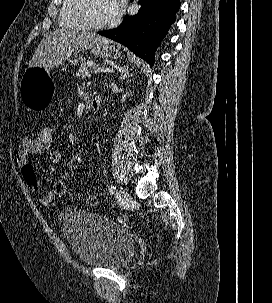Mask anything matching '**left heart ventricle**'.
I'll return each instance as SVG.
<instances>
[{"label":"left heart ventricle","mask_w":272,"mask_h":303,"mask_svg":"<svg viewBox=\"0 0 272 303\" xmlns=\"http://www.w3.org/2000/svg\"><path fill=\"white\" fill-rule=\"evenodd\" d=\"M87 12L94 23H106L113 19L109 0H89Z\"/></svg>","instance_id":"obj_1"}]
</instances>
